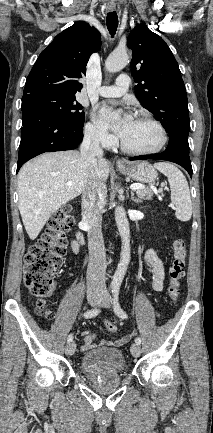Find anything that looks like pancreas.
<instances>
[{
    "mask_svg": "<svg viewBox=\"0 0 213 433\" xmlns=\"http://www.w3.org/2000/svg\"><path fill=\"white\" fill-rule=\"evenodd\" d=\"M136 193L143 200H151L153 197V189L151 187L139 189L136 191Z\"/></svg>",
    "mask_w": 213,
    "mask_h": 433,
    "instance_id": "cf45deb5",
    "label": "pancreas"
}]
</instances>
